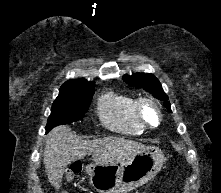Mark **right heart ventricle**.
<instances>
[{
  "mask_svg": "<svg viewBox=\"0 0 221 193\" xmlns=\"http://www.w3.org/2000/svg\"><path fill=\"white\" fill-rule=\"evenodd\" d=\"M135 99L127 94L107 92L98 102V113L103 124L109 129L127 135H139L144 126L135 112Z\"/></svg>",
  "mask_w": 221,
  "mask_h": 193,
  "instance_id": "right-heart-ventricle-1",
  "label": "right heart ventricle"
}]
</instances>
